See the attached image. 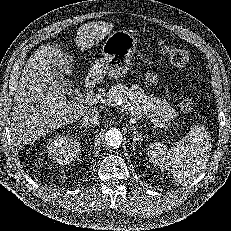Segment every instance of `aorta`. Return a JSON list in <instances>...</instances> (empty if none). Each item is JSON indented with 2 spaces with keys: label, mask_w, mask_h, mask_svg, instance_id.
I'll use <instances>...</instances> for the list:
<instances>
[{
  "label": "aorta",
  "mask_w": 231,
  "mask_h": 231,
  "mask_svg": "<svg viewBox=\"0 0 231 231\" xmlns=\"http://www.w3.org/2000/svg\"><path fill=\"white\" fill-rule=\"evenodd\" d=\"M104 140L106 145L117 148L123 142V135L118 129L112 128L105 133Z\"/></svg>",
  "instance_id": "1"
}]
</instances>
